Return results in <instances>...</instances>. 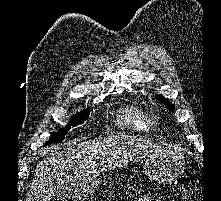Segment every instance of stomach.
<instances>
[{"label": "stomach", "instance_id": "0dacf381", "mask_svg": "<svg viewBox=\"0 0 221 201\" xmlns=\"http://www.w3.org/2000/svg\"><path fill=\"white\" fill-rule=\"evenodd\" d=\"M144 168L149 179L158 183H171L183 174L185 161L178 150L169 148L147 156ZM98 186L99 181H96L88 186L80 187L78 196L85 198Z\"/></svg>", "mask_w": 221, "mask_h": 201}]
</instances>
